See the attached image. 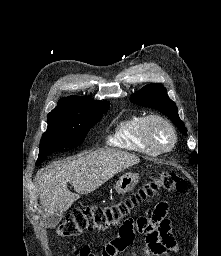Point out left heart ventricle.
<instances>
[{
    "mask_svg": "<svg viewBox=\"0 0 221 256\" xmlns=\"http://www.w3.org/2000/svg\"><path fill=\"white\" fill-rule=\"evenodd\" d=\"M151 136L154 142L160 147H166L170 145L172 141V134L167 126L163 123L155 122L151 126Z\"/></svg>",
    "mask_w": 221,
    "mask_h": 256,
    "instance_id": "1",
    "label": "left heart ventricle"
}]
</instances>
